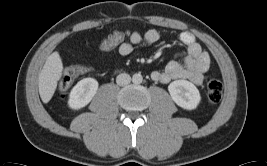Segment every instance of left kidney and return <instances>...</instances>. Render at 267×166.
Masks as SVG:
<instances>
[{
  "mask_svg": "<svg viewBox=\"0 0 267 166\" xmlns=\"http://www.w3.org/2000/svg\"><path fill=\"white\" fill-rule=\"evenodd\" d=\"M168 91L173 101L180 107L193 110L200 103L201 96L197 87L187 80H176L169 84Z\"/></svg>",
  "mask_w": 267,
  "mask_h": 166,
  "instance_id": "left-kidney-1",
  "label": "left kidney"
}]
</instances>
